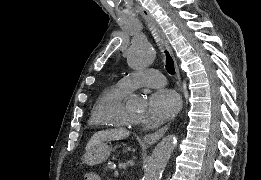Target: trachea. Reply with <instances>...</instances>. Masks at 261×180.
<instances>
[{
  "instance_id": "3493384b",
  "label": "trachea",
  "mask_w": 261,
  "mask_h": 180,
  "mask_svg": "<svg viewBox=\"0 0 261 180\" xmlns=\"http://www.w3.org/2000/svg\"><path fill=\"white\" fill-rule=\"evenodd\" d=\"M165 54H166V70L168 73H170V75H174L175 68H174L173 59L171 58V56L169 55V53L166 50H165Z\"/></svg>"
}]
</instances>
